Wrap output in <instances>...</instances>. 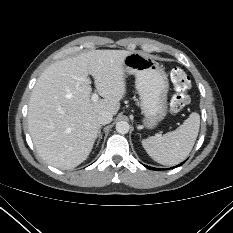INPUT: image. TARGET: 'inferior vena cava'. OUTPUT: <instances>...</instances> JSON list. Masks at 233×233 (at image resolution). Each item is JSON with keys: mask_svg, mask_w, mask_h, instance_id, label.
<instances>
[{"mask_svg": "<svg viewBox=\"0 0 233 233\" xmlns=\"http://www.w3.org/2000/svg\"><path fill=\"white\" fill-rule=\"evenodd\" d=\"M113 115L109 111H102L98 116V122L102 125L112 121Z\"/></svg>", "mask_w": 233, "mask_h": 233, "instance_id": "1", "label": "inferior vena cava"}]
</instances>
